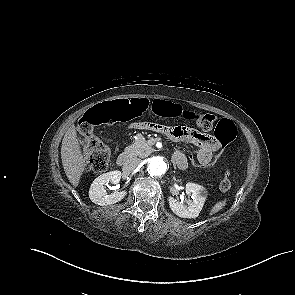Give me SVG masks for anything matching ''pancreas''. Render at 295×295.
<instances>
[{
  "label": "pancreas",
  "instance_id": "obj_1",
  "mask_svg": "<svg viewBox=\"0 0 295 295\" xmlns=\"http://www.w3.org/2000/svg\"><path fill=\"white\" fill-rule=\"evenodd\" d=\"M153 151L154 149L148 144L146 139L142 135H138L137 140L133 144L125 148L124 154L127 157L145 158Z\"/></svg>",
  "mask_w": 295,
  "mask_h": 295
}]
</instances>
